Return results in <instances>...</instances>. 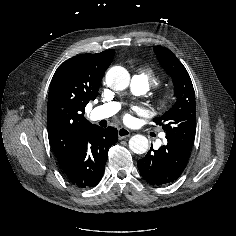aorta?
Here are the masks:
<instances>
[{
	"label": "aorta",
	"mask_w": 236,
	"mask_h": 236,
	"mask_svg": "<svg viewBox=\"0 0 236 236\" xmlns=\"http://www.w3.org/2000/svg\"><path fill=\"white\" fill-rule=\"evenodd\" d=\"M106 83L113 90H125L130 83V74L123 67H112L106 74ZM148 147V139L143 135H134L129 140V148L136 154L145 153L148 150Z\"/></svg>",
	"instance_id": "1"
}]
</instances>
